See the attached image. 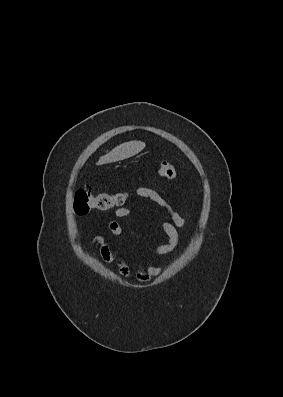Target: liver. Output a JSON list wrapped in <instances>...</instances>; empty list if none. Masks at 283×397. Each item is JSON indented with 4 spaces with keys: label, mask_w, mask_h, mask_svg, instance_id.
<instances>
[{
    "label": "liver",
    "mask_w": 283,
    "mask_h": 397,
    "mask_svg": "<svg viewBox=\"0 0 283 397\" xmlns=\"http://www.w3.org/2000/svg\"><path fill=\"white\" fill-rule=\"evenodd\" d=\"M145 146V143L141 141H129L122 143L106 155L100 157L96 164L102 165L130 158L141 152Z\"/></svg>",
    "instance_id": "1"
}]
</instances>
